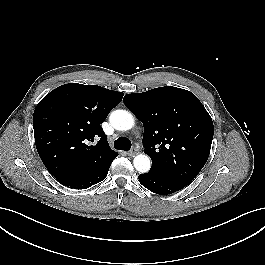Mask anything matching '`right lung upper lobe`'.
Listing matches in <instances>:
<instances>
[{"instance_id":"1","label":"right lung upper lobe","mask_w":265,"mask_h":265,"mask_svg":"<svg viewBox=\"0 0 265 265\" xmlns=\"http://www.w3.org/2000/svg\"><path fill=\"white\" fill-rule=\"evenodd\" d=\"M123 95L97 85L70 83L39 102L33 114L35 144L56 180L101 170L118 155L109 147L101 124Z\"/></svg>"}]
</instances>
